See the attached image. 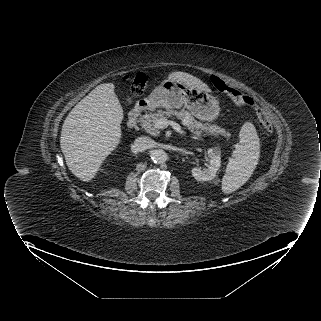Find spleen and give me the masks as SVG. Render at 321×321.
I'll return each instance as SVG.
<instances>
[{
    "mask_svg": "<svg viewBox=\"0 0 321 321\" xmlns=\"http://www.w3.org/2000/svg\"><path fill=\"white\" fill-rule=\"evenodd\" d=\"M239 139V145L229 159L222 180V191L226 194L236 191L246 183L259 160V137L252 123H244L239 132Z\"/></svg>",
    "mask_w": 321,
    "mask_h": 321,
    "instance_id": "obj_1",
    "label": "spleen"
}]
</instances>
